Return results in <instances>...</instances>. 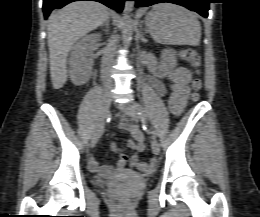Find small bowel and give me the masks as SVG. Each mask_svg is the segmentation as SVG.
<instances>
[{
	"label": "small bowel",
	"mask_w": 260,
	"mask_h": 217,
	"mask_svg": "<svg viewBox=\"0 0 260 217\" xmlns=\"http://www.w3.org/2000/svg\"><path fill=\"white\" fill-rule=\"evenodd\" d=\"M148 68L152 74L151 84L155 91L162 97L167 95V89L161 80V73L159 70L158 62L155 58L151 57L147 61ZM171 81L170 91L168 94V105L174 115L181 113L185 97L188 92V84L191 80V73L184 68H176L168 75ZM132 135V140L128 141L126 148L140 152L144 149V136L141 131L133 126L126 125ZM111 149L119 154V159L116 167L100 166L95 157H90L88 166L89 169L98 174L100 177H108L115 172H125L133 167L137 162V156H127L122 148H119L115 143L111 144Z\"/></svg>",
	"instance_id": "1"
}]
</instances>
